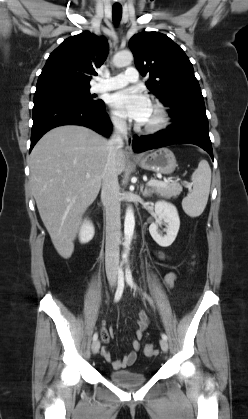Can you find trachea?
I'll use <instances>...</instances> for the list:
<instances>
[{
  "label": "trachea",
  "instance_id": "3493384b",
  "mask_svg": "<svg viewBox=\"0 0 248 419\" xmlns=\"http://www.w3.org/2000/svg\"><path fill=\"white\" fill-rule=\"evenodd\" d=\"M112 17L115 24H118L122 17V6L114 5L112 7Z\"/></svg>",
  "mask_w": 248,
  "mask_h": 419
}]
</instances>
